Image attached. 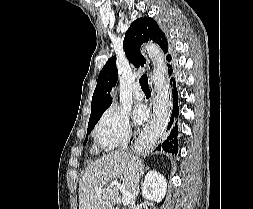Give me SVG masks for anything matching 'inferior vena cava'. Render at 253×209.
I'll return each instance as SVG.
<instances>
[{
	"mask_svg": "<svg viewBox=\"0 0 253 209\" xmlns=\"http://www.w3.org/2000/svg\"><path fill=\"white\" fill-rule=\"evenodd\" d=\"M128 142H129V137H126L122 143H121V146H120V151L121 152H124L125 150H127V146H128ZM137 174L135 175L133 173L132 175V191H133V196L135 197L136 194H137Z\"/></svg>",
	"mask_w": 253,
	"mask_h": 209,
	"instance_id": "602c4592",
	"label": "inferior vena cava"
}]
</instances>
